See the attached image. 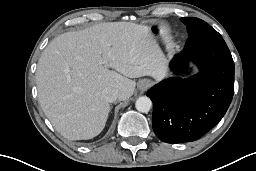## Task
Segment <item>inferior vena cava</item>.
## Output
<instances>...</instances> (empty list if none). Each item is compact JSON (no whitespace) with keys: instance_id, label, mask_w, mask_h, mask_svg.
Listing matches in <instances>:
<instances>
[{"instance_id":"obj_1","label":"inferior vena cava","mask_w":256,"mask_h":171,"mask_svg":"<svg viewBox=\"0 0 256 171\" xmlns=\"http://www.w3.org/2000/svg\"><path fill=\"white\" fill-rule=\"evenodd\" d=\"M102 95H103L104 99L109 103L116 101L119 97L118 91L114 88L104 89L102 92Z\"/></svg>"}]
</instances>
